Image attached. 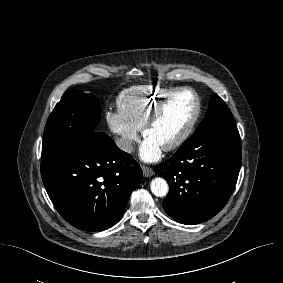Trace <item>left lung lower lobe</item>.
<instances>
[{
	"instance_id": "0a47b994",
	"label": "left lung lower lobe",
	"mask_w": 283,
	"mask_h": 283,
	"mask_svg": "<svg viewBox=\"0 0 283 283\" xmlns=\"http://www.w3.org/2000/svg\"><path fill=\"white\" fill-rule=\"evenodd\" d=\"M240 166L241 142L236 126L193 134L170 159L154 167L169 184L164 210L186 225L212 218L229 200Z\"/></svg>"
}]
</instances>
